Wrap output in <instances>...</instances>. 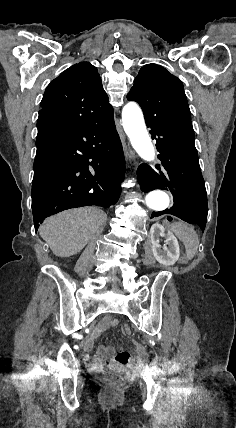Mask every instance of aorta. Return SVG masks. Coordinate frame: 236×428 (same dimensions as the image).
<instances>
[{
	"label": "aorta",
	"mask_w": 236,
	"mask_h": 428,
	"mask_svg": "<svg viewBox=\"0 0 236 428\" xmlns=\"http://www.w3.org/2000/svg\"><path fill=\"white\" fill-rule=\"evenodd\" d=\"M122 122L125 133L138 155L147 162L155 158V149L146 129L143 113L134 103H127L122 110ZM146 205L155 212H161L170 204L168 194L161 190L148 193L145 197Z\"/></svg>",
	"instance_id": "1"
}]
</instances>
